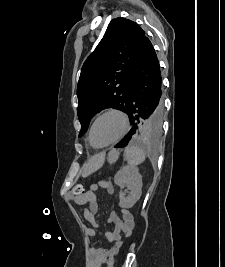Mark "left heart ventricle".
<instances>
[{
    "mask_svg": "<svg viewBox=\"0 0 225 267\" xmlns=\"http://www.w3.org/2000/svg\"><path fill=\"white\" fill-rule=\"evenodd\" d=\"M123 127L122 119L116 114L101 117L94 125L92 141L95 145H103L114 140Z\"/></svg>",
    "mask_w": 225,
    "mask_h": 267,
    "instance_id": "1",
    "label": "left heart ventricle"
}]
</instances>
